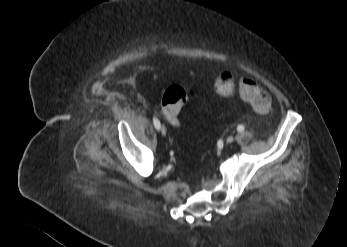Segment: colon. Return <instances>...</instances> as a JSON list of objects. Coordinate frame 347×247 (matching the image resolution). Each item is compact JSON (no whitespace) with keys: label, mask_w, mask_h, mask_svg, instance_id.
I'll list each match as a JSON object with an SVG mask.
<instances>
[{"label":"colon","mask_w":347,"mask_h":247,"mask_svg":"<svg viewBox=\"0 0 347 247\" xmlns=\"http://www.w3.org/2000/svg\"><path fill=\"white\" fill-rule=\"evenodd\" d=\"M236 89L239 90L241 96L250 103L256 112L266 113L270 109V94L253 80H237L229 71L219 74L215 81V90L220 96L228 97ZM191 95V91L177 84L169 86L164 91L161 98V110L174 129L180 128L179 115L185 102Z\"/></svg>","instance_id":"colon-1"}]
</instances>
